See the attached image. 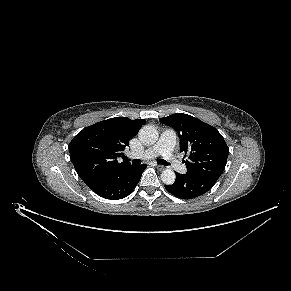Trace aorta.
Masks as SVG:
<instances>
[{"mask_svg": "<svg viewBox=\"0 0 291 291\" xmlns=\"http://www.w3.org/2000/svg\"><path fill=\"white\" fill-rule=\"evenodd\" d=\"M159 134L157 129L152 125H145L139 131V139L144 144H154L158 140ZM176 175L171 169H165L161 173V180L166 185L175 182Z\"/></svg>", "mask_w": 291, "mask_h": 291, "instance_id": "aorta-1", "label": "aorta"}]
</instances>
